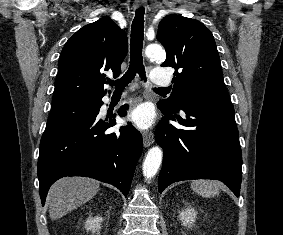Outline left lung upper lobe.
<instances>
[{"label": "left lung upper lobe", "mask_w": 283, "mask_h": 235, "mask_svg": "<svg viewBox=\"0 0 283 235\" xmlns=\"http://www.w3.org/2000/svg\"><path fill=\"white\" fill-rule=\"evenodd\" d=\"M157 40L167 57L161 66L175 68L171 96L158 106L177 112L184 104L232 105L210 30L195 19L170 14L158 27Z\"/></svg>", "instance_id": "1"}]
</instances>
